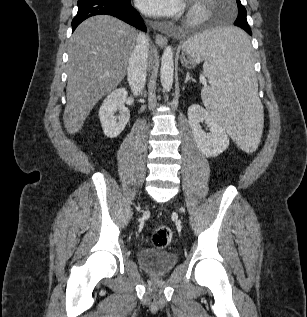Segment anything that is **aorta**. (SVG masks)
Segmentation results:
<instances>
[{"label":"aorta","mask_w":307,"mask_h":317,"mask_svg":"<svg viewBox=\"0 0 307 317\" xmlns=\"http://www.w3.org/2000/svg\"><path fill=\"white\" fill-rule=\"evenodd\" d=\"M174 52L171 46H167L162 54L160 81L164 91H170L173 85Z\"/></svg>","instance_id":"obj_1"}]
</instances>
